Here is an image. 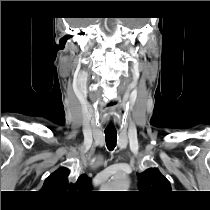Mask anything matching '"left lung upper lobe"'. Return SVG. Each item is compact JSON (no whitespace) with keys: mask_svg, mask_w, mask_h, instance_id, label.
Returning <instances> with one entry per match:
<instances>
[{"mask_svg":"<svg viewBox=\"0 0 210 210\" xmlns=\"http://www.w3.org/2000/svg\"><path fill=\"white\" fill-rule=\"evenodd\" d=\"M139 189L143 193H163L171 190L170 182L157 168H149L138 174Z\"/></svg>","mask_w":210,"mask_h":210,"instance_id":"left-lung-upper-lobe-1","label":"left lung upper lobe"}]
</instances>
